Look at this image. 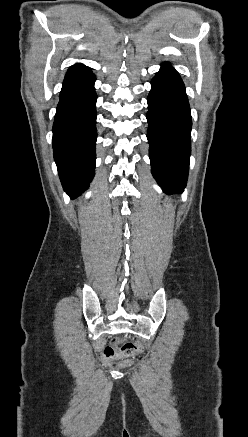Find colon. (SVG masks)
I'll return each mask as SVG.
<instances>
[{"label": "colon", "mask_w": 248, "mask_h": 437, "mask_svg": "<svg viewBox=\"0 0 248 437\" xmlns=\"http://www.w3.org/2000/svg\"><path fill=\"white\" fill-rule=\"evenodd\" d=\"M119 346V349L117 348ZM140 350V346L137 343L134 342H123L120 344V342L116 339H113L103 352V357L106 362H111L114 358L117 357L118 353H121L122 355L129 356L134 353H137ZM123 365L130 364L129 361H124L122 363Z\"/></svg>", "instance_id": "1"}]
</instances>
